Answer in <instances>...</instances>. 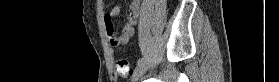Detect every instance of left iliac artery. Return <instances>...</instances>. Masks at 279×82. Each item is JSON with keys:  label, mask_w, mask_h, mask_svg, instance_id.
<instances>
[{"label": "left iliac artery", "mask_w": 279, "mask_h": 82, "mask_svg": "<svg viewBox=\"0 0 279 82\" xmlns=\"http://www.w3.org/2000/svg\"><path fill=\"white\" fill-rule=\"evenodd\" d=\"M143 61H144V58H141V59L138 60L137 63H138V64H141Z\"/></svg>", "instance_id": "44dca946"}]
</instances>
